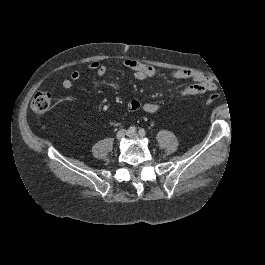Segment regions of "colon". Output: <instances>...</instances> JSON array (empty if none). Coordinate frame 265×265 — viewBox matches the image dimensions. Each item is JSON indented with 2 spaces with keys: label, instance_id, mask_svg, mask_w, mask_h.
I'll list each match as a JSON object with an SVG mask.
<instances>
[{
  "label": "colon",
  "instance_id": "colon-1",
  "mask_svg": "<svg viewBox=\"0 0 265 265\" xmlns=\"http://www.w3.org/2000/svg\"><path fill=\"white\" fill-rule=\"evenodd\" d=\"M220 97L219 94L214 93L207 99V103L216 101ZM51 94L49 92H38L31 102V107L36 113H45L51 106Z\"/></svg>",
  "mask_w": 265,
  "mask_h": 265
}]
</instances>
